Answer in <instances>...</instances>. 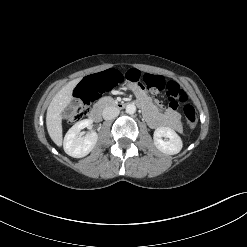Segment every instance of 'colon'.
Here are the masks:
<instances>
[{"label":"colon","mask_w":247,"mask_h":247,"mask_svg":"<svg viewBox=\"0 0 247 247\" xmlns=\"http://www.w3.org/2000/svg\"><path fill=\"white\" fill-rule=\"evenodd\" d=\"M125 78L132 84L141 85L152 92L165 90L171 106H177L179 103L186 101L184 90L176 82H166L161 76L152 74L142 76L138 70L131 69L125 73ZM122 82V74L114 68L87 76L77 87L78 102L69 108V120L77 122L86 117L90 111V104L98 95L117 90L122 85ZM183 113L187 125L190 128L196 127L198 115L195 108L190 104H186L183 107Z\"/></svg>","instance_id":"colon-1"}]
</instances>
